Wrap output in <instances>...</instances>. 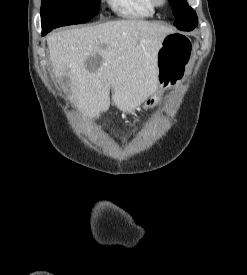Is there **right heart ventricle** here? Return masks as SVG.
<instances>
[{
	"label": "right heart ventricle",
	"instance_id": "right-heart-ventricle-1",
	"mask_svg": "<svg viewBox=\"0 0 247 275\" xmlns=\"http://www.w3.org/2000/svg\"><path fill=\"white\" fill-rule=\"evenodd\" d=\"M109 7L127 19L149 18L155 14L151 0H106Z\"/></svg>",
	"mask_w": 247,
	"mask_h": 275
}]
</instances>
